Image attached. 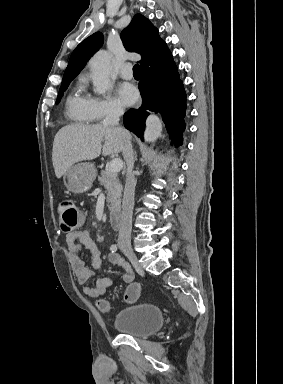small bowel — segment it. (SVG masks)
<instances>
[{
    "instance_id": "obj_1",
    "label": "small bowel",
    "mask_w": 283,
    "mask_h": 384,
    "mask_svg": "<svg viewBox=\"0 0 283 384\" xmlns=\"http://www.w3.org/2000/svg\"><path fill=\"white\" fill-rule=\"evenodd\" d=\"M66 243L74 275L77 282L83 286V293L90 298H99L103 296L107 290L114 285V281L111 278L103 277L98 279L94 285L88 284L94 270L101 266L100 251L95 242L92 240L90 233L85 229L79 228L67 234ZM83 249H86L91 253V268L87 267L81 258V252ZM108 261L111 264L121 266L124 269V274L122 276L124 282L136 284L132 283L134 280V273L131 266L119 255L113 252L110 253L108 255Z\"/></svg>"
}]
</instances>
